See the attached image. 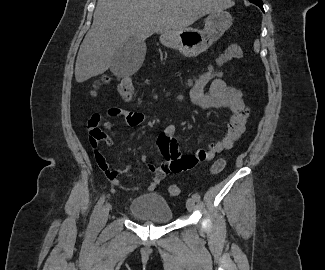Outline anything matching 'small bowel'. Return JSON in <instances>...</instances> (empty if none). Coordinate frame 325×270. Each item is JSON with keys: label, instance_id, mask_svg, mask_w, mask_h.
I'll list each match as a JSON object with an SVG mask.
<instances>
[{"label": "small bowel", "instance_id": "1", "mask_svg": "<svg viewBox=\"0 0 325 270\" xmlns=\"http://www.w3.org/2000/svg\"><path fill=\"white\" fill-rule=\"evenodd\" d=\"M207 72L210 74V77L204 79L200 87L189 90V99L193 104L203 109L220 107L229 109L231 117L228 122L226 134L220 141L210 145L208 149H200L191 155H181L175 139L176 126L173 124L167 125L157 139L159 151L164 161L159 166L153 163H147V169L153 173V178L147 186V190L149 191H153L169 173H179L188 170L200 161H210L218 153L231 149L244 132L245 123L248 118V109L243 102L241 92L225 83L221 71L213 68ZM208 83L210 84V88L207 93L204 88ZM175 98L179 104H187V99L183 94L179 93ZM107 116L111 118L124 117L127 125L131 127H138L144 122V115L142 113L128 111L118 107L109 108L107 110ZM91 118L100 120V115L96 113ZM104 142L108 147L112 146L110 139ZM140 159L143 162H147L148 157L141 155ZM95 160L113 185L123 187L117 178L118 172L110 168L108 161L100 151H95ZM130 169L131 167L127 166L124 172H129ZM123 188L129 191H137L140 189L139 187Z\"/></svg>", "mask_w": 325, "mask_h": 270}]
</instances>
